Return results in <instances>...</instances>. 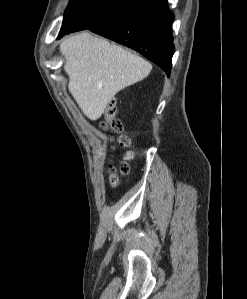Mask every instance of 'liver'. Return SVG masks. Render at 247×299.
Returning <instances> with one entry per match:
<instances>
[{"mask_svg": "<svg viewBox=\"0 0 247 299\" xmlns=\"http://www.w3.org/2000/svg\"><path fill=\"white\" fill-rule=\"evenodd\" d=\"M68 89L84 115L99 119L113 97L147 77L152 65L124 48L83 32L60 44Z\"/></svg>", "mask_w": 247, "mask_h": 299, "instance_id": "liver-1", "label": "liver"}]
</instances>
